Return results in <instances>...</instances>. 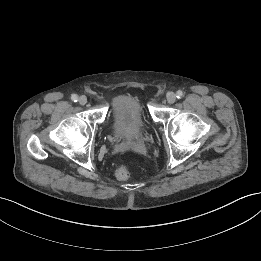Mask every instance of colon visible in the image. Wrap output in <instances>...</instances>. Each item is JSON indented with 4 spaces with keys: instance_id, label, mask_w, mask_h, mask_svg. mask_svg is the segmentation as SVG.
I'll return each mask as SVG.
<instances>
[{
    "instance_id": "1",
    "label": "colon",
    "mask_w": 261,
    "mask_h": 261,
    "mask_svg": "<svg viewBox=\"0 0 261 261\" xmlns=\"http://www.w3.org/2000/svg\"><path fill=\"white\" fill-rule=\"evenodd\" d=\"M115 176L120 181L126 180L129 176L127 168L124 166L119 167L115 172Z\"/></svg>"
}]
</instances>
